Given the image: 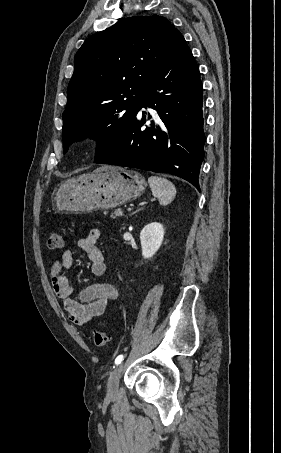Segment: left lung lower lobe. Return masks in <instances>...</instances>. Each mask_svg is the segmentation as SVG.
<instances>
[{
  "instance_id": "1",
  "label": "left lung lower lobe",
  "mask_w": 281,
  "mask_h": 453,
  "mask_svg": "<svg viewBox=\"0 0 281 453\" xmlns=\"http://www.w3.org/2000/svg\"><path fill=\"white\" fill-rule=\"evenodd\" d=\"M202 101L198 66L178 34L137 111L150 106L162 122H152L141 130L146 117L139 121L136 114L117 143L95 163L170 173L200 190L198 177L205 143Z\"/></svg>"
}]
</instances>
